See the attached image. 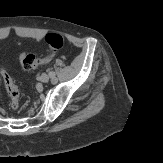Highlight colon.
Instances as JSON below:
<instances>
[{"label": "colon", "mask_w": 163, "mask_h": 163, "mask_svg": "<svg viewBox=\"0 0 163 163\" xmlns=\"http://www.w3.org/2000/svg\"><path fill=\"white\" fill-rule=\"evenodd\" d=\"M46 44L49 48V54L44 57H37L31 53H21L19 60L21 65L26 70H31L37 66L48 61L52 55L64 44V38L59 33H49L45 37ZM4 83L6 91L10 99V105L13 109H16L19 105V89L15 79L6 71H3Z\"/></svg>", "instance_id": "obj_1"}]
</instances>
